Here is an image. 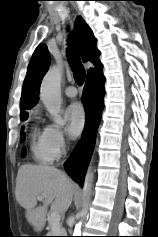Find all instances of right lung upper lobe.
Listing matches in <instances>:
<instances>
[{"mask_svg": "<svg viewBox=\"0 0 158 237\" xmlns=\"http://www.w3.org/2000/svg\"><path fill=\"white\" fill-rule=\"evenodd\" d=\"M74 38L83 61H92L95 65L98 64V67L90 68L87 71V77L94 72L101 70L98 61L100 52L96 49V39L90 27L80 16L75 23ZM50 63L51 57L46 45H39L32 55L24 80L20 100V107L22 109L20 117L28 116V113L25 110L32 108L38 103L39 86Z\"/></svg>", "mask_w": 158, "mask_h": 237, "instance_id": "cb5924a9", "label": "right lung upper lobe"}]
</instances>
